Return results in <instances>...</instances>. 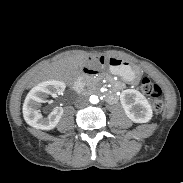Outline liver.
I'll use <instances>...</instances> for the list:
<instances>
[{
  "label": "liver",
  "mask_w": 183,
  "mask_h": 183,
  "mask_svg": "<svg viewBox=\"0 0 183 183\" xmlns=\"http://www.w3.org/2000/svg\"><path fill=\"white\" fill-rule=\"evenodd\" d=\"M87 57L88 55H82L60 60L51 66L49 76L58 80L69 81L77 76L79 63Z\"/></svg>",
  "instance_id": "6515ba94"
}]
</instances>
